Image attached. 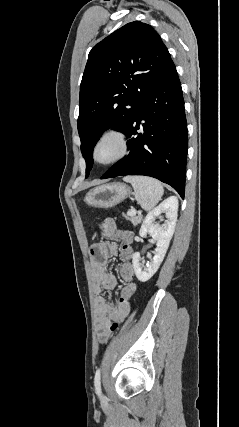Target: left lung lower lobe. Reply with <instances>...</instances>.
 <instances>
[{"mask_svg": "<svg viewBox=\"0 0 239 427\" xmlns=\"http://www.w3.org/2000/svg\"><path fill=\"white\" fill-rule=\"evenodd\" d=\"M142 132L138 133L137 130ZM129 153L101 179L151 176L184 198L188 134L181 83L172 66L142 97L124 133Z\"/></svg>", "mask_w": 239, "mask_h": 427, "instance_id": "left-lung-lower-lobe-1", "label": "left lung lower lobe"}]
</instances>
